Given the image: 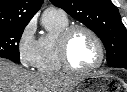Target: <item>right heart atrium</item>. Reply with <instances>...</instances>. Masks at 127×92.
<instances>
[{"mask_svg":"<svg viewBox=\"0 0 127 92\" xmlns=\"http://www.w3.org/2000/svg\"><path fill=\"white\" fill-rule=\"evenodd\" d=\"M17 53L20 64L25 68L36 66L38 41L35 38V26L31 22L24 27L17 41Z\"/></svg>","mask_w":127,"mask_h":92,"instance_id":"obj_1","label":"right heart atrium"}]
</instances>
